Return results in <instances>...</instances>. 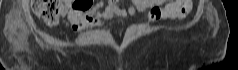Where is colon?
Instances as JSON below:
<instances>
[{
	"label": "colon",
	"instance_id": "1",
	"mask_svg": "<svg viewBox=\"0 0 238 70\" xmlns=\"http://www.w3.org/2000/svg\"><path fill=\"white\" fill-rule=\"evenodd\" d=\"M91 2L90 0H88ZM177 3L170 8L174 18H183L191 10V0H175ZM33 12L43 19L49 26H55L59 22L61 16L65 13L66 8L61 0H32Z\"/></svg>",
	"mask_w": 238,
	"mask_h": 70
}]
</instances>
